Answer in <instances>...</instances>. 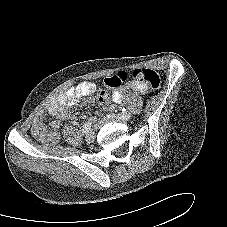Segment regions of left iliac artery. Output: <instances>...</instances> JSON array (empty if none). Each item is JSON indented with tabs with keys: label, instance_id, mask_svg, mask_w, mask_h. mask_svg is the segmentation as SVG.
Instances as JSON below:
<instances>
[{
	"label": "left iliac artery",
	"instance_id": "obj_1",
	"mask_svg": "<svg viewBox=\"0 0 227 227\" xmlns=\"http://www.w3.org/2000/svg\"><path fill=\"white\" fill-rule=\"evenodd\" d=\"M128 112L126 111L125 108L122 109V114H127Z\"/></svg>",
	"mask_w": 227,
	"mask_h": 227
}]
</instances>
